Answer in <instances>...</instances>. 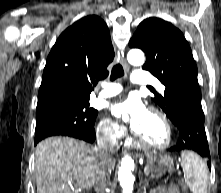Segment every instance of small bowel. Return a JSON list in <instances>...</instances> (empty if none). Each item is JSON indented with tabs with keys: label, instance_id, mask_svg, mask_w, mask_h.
<instances>
[{
	"label": "small bowel",
	"instance_id": "obj_1",
	"mask_svg": "<svg viewBox=\"0 0 221 193\" xmlns=\"http://www.w3.org/2000/svg\"><path fill=\"white\" fill-rule=\"evenodd\" d=\"M153 193H180L176 186L160 187L153 191Z\"/></svg>",
	"mask_w": 221,
	"mask_h": 193
}]
</instances>
